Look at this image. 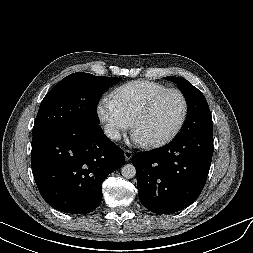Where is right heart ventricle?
I'll use <instances>...</instances> for the list:
<instances>
[{
	"label": "right heart ventricle",
	"mask_w": 253,
	"mask_h": 253,
	"mask_svg": "<svg viewBox=\"0 0 253 253\" xmlns=\"http://www.w3.org/2000/svg\"><path fill=\"white\" fill-rule=\"evenodd\" d=\"M167 88L166 85L159 82L139 79L117 88L114 91L113 98L127 122L132 125L148 100Z\"/></svg>",
	"instance_id": "1"
}]
</instances>
